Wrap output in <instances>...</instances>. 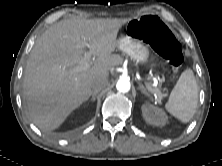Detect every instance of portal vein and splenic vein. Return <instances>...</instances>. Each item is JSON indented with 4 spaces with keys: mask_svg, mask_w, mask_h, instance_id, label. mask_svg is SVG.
<instances>
[{
    "mask_svg": "<svg viewBox=\"0 0 222 166\" xmlns=\"http://www.w3.org/2000/svg\"><path fill=\"white\" fill-rule=\"evenodd\" d=\"M85 45H86V43L82 42V46H85ZM90 56H91L90 53H88V52L84 53V58L80 62V65L78 66V70L82 71V70H86L90 67V65H89ZM147 87L150 91L152 90V87L150 85H147ZM154 95L158 96L160 99L163 97V94L158 90L154 91Z\"/></svg>",
    "mask_w": 222,
    "mask_h": 166,
    "instance_id": "portal-vein-and-splenic-vein-1",
    "label": "portal vein and splenic vein"
}]
</instances>
